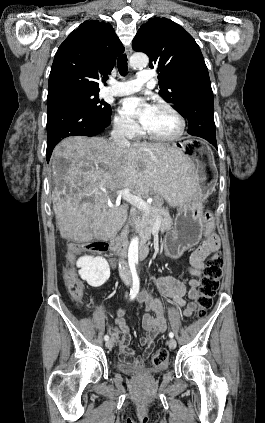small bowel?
I'll use <instances>...</instances> for the list:
<instances>
[{
  "mask_svg": "<svg viewBox=\"0 0 265 423\" xmlns=\"http://www.w3.org/2000/svg\"><path fill=\"white\" fill-rule=\"evenodd\" d=\"M206 237L204 244L199 246L190 257L189 272L192 278L188 282V290L185 283L172 276L159 277L152 282L158 294L171 299L177 305L183 307L184 318H190L195 311V299L199 295L204 260L209 255H215V252L219 248L220 240L216 234H206ZM186 295L189 301L185 299ZM137 302L144 306L142 325L145 333L139 340L141 346L144 348L142 358L131 361L134 351L130 347V328L123 318L125 313L124 308L117 310L114 319L117 328L111 332L113 338L119 342L120 356L123 362L139 366L142 364L144 358L150 355L157 336L165 332L167 328L164 317L167 308L160 298L154 297L149 291L140 293L137 297Z\"/></svg>",
  "mask_w": 265,
  "mask_h": 423,
  "instance_id": "small-bowel-1",
  "label": "small bowel"
}]
</instances>
